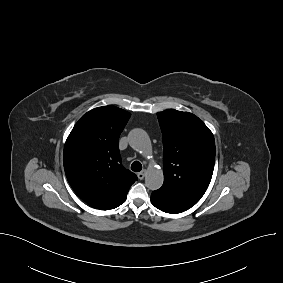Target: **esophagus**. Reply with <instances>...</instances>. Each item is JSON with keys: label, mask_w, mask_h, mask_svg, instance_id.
<instances>
[{"label": "esophagus", "mask_w": 283, "mask_h": 283, "mask_svg": "<svg viewBox=\"0 0 283 283\" xmlns=\"http://www.w3.org/2000/svg\"><path fill=\"white\" fill-rule=\"evenodd\" d=\"M145 175H146V170H142L141 172L138 173L137 176L140 180H142L144 179Z\"/></svg>", "instance_id": "obj_1"}]
</instances>
